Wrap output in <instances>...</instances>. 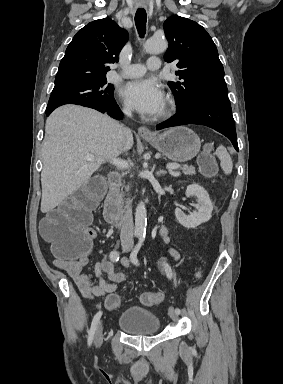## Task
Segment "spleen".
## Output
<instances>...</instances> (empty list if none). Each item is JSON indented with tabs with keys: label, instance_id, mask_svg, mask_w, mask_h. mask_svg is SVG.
I'll return each instance as SVG.
<instances>
[{
	"label": "spleen",
	"instance_id": "obj_1",
	"mask_svg": "<svg viewBox=\"0 0 283 384\" xmlns=\"http://www.w3.org/2000/svg\"><path fill=\"white\" fill-rule=\"evenodd\" d=\"M215 154L220 160V166L224 174H231L233 170V164L230 158V154H228L226 148H224V146H218Z\"/></svg>",
	"mask_w": 283,
	"mask_h": 384
}]
</instances>
